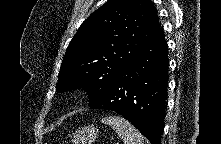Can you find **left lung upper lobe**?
<instances>
[{"instance_id":"left-lung-upper-lobe-1","label":"left lung upper lobe","mask_w":221,"mask_h":144,"mask_svg":"<svg viewBox=\"0 0 221 144\" xmlns=\"http://www.w3.org/2000/svg\"><path fill=\"white\" fill-rule=\"evenodd\" d=\"M159 29L151 0H109L81 24L69 43L56 91L85 88L92 106Z\"/></svg>"}]
</instances>
